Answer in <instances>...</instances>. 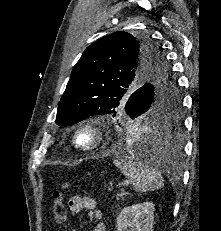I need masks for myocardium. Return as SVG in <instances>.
I'll return each mask as SVG.
<instances>
[{
    "instance_id": "f54148a6",
    "label": "myocardium",
    "mask_w": 221,
    "mask_h": 231,
    "mask_svg": "<svg viewBox=\"0 0 221 231\" xmlns=\"http://www.w3.org/2000/svg\"><path fill=\"white\" fill-rule=\"evenodd\" d=\"M87 132L91 136V141L87 144L80 142V136L82 133ZM104 142V128L102 124L95 120H85L77 125L73 137L72 143L78 150L82 152H92L102 146Z\"/></svg>"
}]
</instances>
